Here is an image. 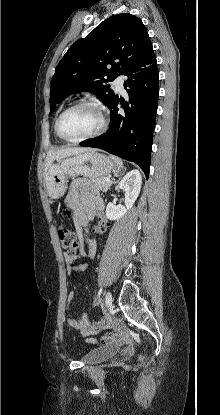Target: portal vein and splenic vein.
Masks as SVG:
<instances>
[{"instance_id":"1","label":"portal vein and splenic vein","mask_w":220,"mask_h":415,"mask_svg":"<svg viewBox=\"0 0 220 415\" xmlns=\"http://www.w3.org/2000/svg\"><path fill=\"white\" fill-rule=\"evenodd\" d=\"M105 181H106V182H110L111 180H110V178H109V177H106V178H105Z\"/></svg>"}]
</instances>
